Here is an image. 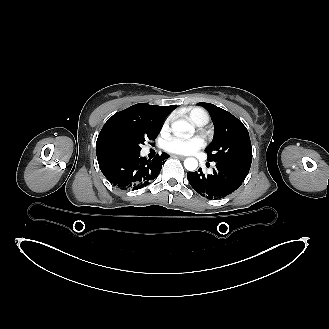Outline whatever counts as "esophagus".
I'll list each match as a JSON object with an SVG mask.
<instances>
[{
    "instance_id": "1",
    "label": "esophagus",
    "mask_w": 329,
    "mask_h": 329,
    "mask_svg": "<svg viewBox=\"0 0 329 329\" xmlns=\"http://www.w3.org/2000/svg\"><path fill=\"white\" fill-rule=\"evenodd\" d=\"M173 157L179 158V159H185V157L184 156H181V155H173Z\"/></svg>"
}]
</instances>
